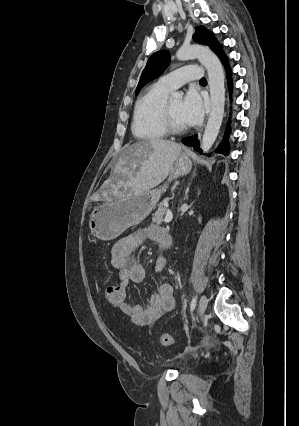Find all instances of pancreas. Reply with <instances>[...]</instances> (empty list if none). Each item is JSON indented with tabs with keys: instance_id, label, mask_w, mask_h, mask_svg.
Instances as JSON below:
<instances>
[{
	"instance_id": "obj_1",
	"label": "pancreas",
	"mask_w": 299,
	"mask_h": 426,
	"mask_svg": "<svg viewBox=\"0 0 299 426\" xmlns=\"http://www.w3.org/2000/svg\"><path fill=\"white\" fill-rule=\"evenodd\" d=\"M167 202L168 198L164 199L163 202H161L156 210V212L152 216V221L155 223H161L164 221V216L167 212Z\"/></svg>"
}]
</instances>
